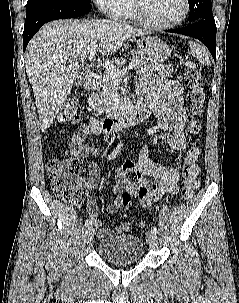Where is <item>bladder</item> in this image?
I'll use <instances>...</instances> for the list:
<instances>
[{
  "label": "bladder",
  "mask_w": 239,
  "mask_h": 303,
  "mask_svg": "<svg viewBox=\"0 0 239 303\" xmlns=\"http://www.w3.org/2000/svg\"><path fill=\"white\" fill-rule=\"evenodd\" d=\"M99 255L115 265H131L139 262L144 253L143 241L132 234H119L98 245Z\"/></svg>",
  "instance_id": "obj_1"
}]
</instances>
